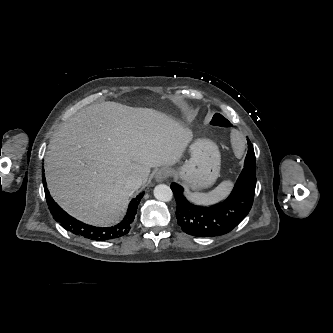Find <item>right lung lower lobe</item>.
I'll return each instance as SVG.
<instances>
[{
    "label": "right lung lower lobe",
    "instance_id": "obj_1",
    "mask_svg": "<svg viewBox=\"0 0 333 333\" xmlns=\"http://www.w3.org/2000/svg\"><path fill=\"white\" fill-rule=\"evenodd\" d=\"M43 184L45 188L47 204L53 218L57 222H59L60 225L64 227L67 231L96 241H105L126 235L131 228L132 222L134 221L135 214L137 212V206L139 205L140 200L145 193L142 192L136 198L131 200L127 210V214L122 220V222L112 227L100 228L78 221L77 219L67 214L62 208H60L58 204L54 202L53 198L49 194L48 189L46 188L47 184L44 174Z\"/></svg>",
    "mask_w": 333,
    "mask_h": 333
}]
</instances>
